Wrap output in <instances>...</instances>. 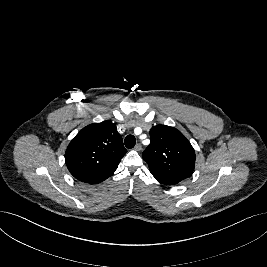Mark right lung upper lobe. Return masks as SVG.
Instances as JSON below:
<instances>
[{"instance_id": "1", "label": "right lung upper lobe", "mask_w": 267, "mask_h": 267, "mask_svg": "<svg viewBox=\"0 0 267 267\" xmlns=\"http://www.w3.org/2000/svg\"><path fill=\"white\" fill-rule=\"evenodd\" d=\"M126 152L116 125L103 121L84 127L71 140L65 162L76 179L94 184L112 175Z\"/></svg>"}]
</instances>
